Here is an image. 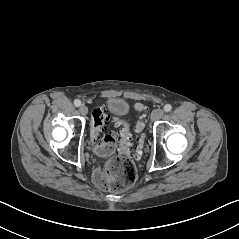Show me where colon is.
Here are the masks:
<instances>
[{
  "mask_svg": "<svg viewBox=\"0 0 239 239\" xmlns=\"http://www.w3.org/2000/svg\"><path fill=\"white\" fill-rule=\"evenodd\" d=\"M135 108L138 112L144 113L147 107L142 103H137ZM111 118L102 107L94 109L92 113L90 136L94 145V150L101 156H109L104 167L94 173L96 185L109 192H121L131 187L136 181L137 171L130 156L129 144L130 132L126 123L121 119H116V123L121 126L118 136L107 134L101 136V132L111 122ZM145 122L140 119L136 126L137 145L135 156L141 154L144 144L143 130Z\"/></svg>",
  "mask_w": 239,
  "mask_h": 239,
  "instance_id": "obj_1",
  "label": "colon"
}]
</instances>
